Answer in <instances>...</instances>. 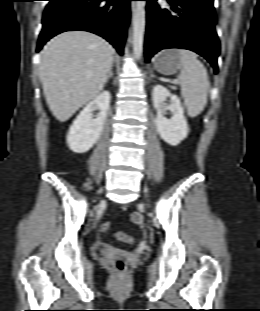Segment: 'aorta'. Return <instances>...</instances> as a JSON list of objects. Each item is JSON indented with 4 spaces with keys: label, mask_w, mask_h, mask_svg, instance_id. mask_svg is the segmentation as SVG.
<instances>
[{
    "label": "aorta",
    "mask_w": 260,
    "mask_h": 311,
    "mask_svg": "<svg viewBox=\"0 0 260 311\" xmlns=\"http://www.w3.org/2000/svg\"><path fill=\"white\" fill-rule=\"evenodd\" d=\"M145 32V1H136L133 10V37L132 47L135 58L139 59L143 51Z\"/></svg>",
    "instance_id": "762f6f07"
}]
</instances>
